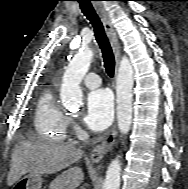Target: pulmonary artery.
Masks as SVG:
<instances>
[{
	"label": "pulmonary artery",
	"mask_w": 188,
	"mask_h": 189,
	"mask_svg": "<svg viewBox=\"0 0 188 189\" xmlns=\"http://www.w3.org/2000/svg\"><path fill=\"white\" fill-rule=\"evenodd\" d=\"M83 83L89 88H96L101 85V78L95 73H88L83 78Z\"/></svg>",
	"instance_id": "1"
}]
</instances>
